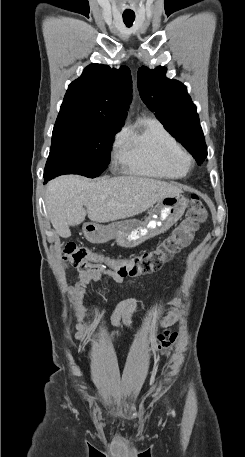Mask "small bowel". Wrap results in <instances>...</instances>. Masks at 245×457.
Returning <instances> with one entry per match:
<instances>
[{
    "instance_id": "small-bowel-1",
    "label": "small bowel",
    "mask_w": 245,
    "mask_h": 457,
    "mask_svg": "<svg viewBox=\"0 0 245 457\" xmlns=\"http://www.w3.org/2000/svg\"><path fill=\"white\" fill-rule=\"evenodd\" d=\"M194 236L192 235L186 243L190 242ZM104 277H110L116 283H122L123 277L119 276L115 271L109 268H101V269H90L86 271H81L74 279L72 284V293L76 298L75 302L72 305V313L78 319V332L75 336L76 340L79 341L81 344H91L96 343L99 341V334L91 329H87L81 325V321L83 319L85 309L82 305L80 300L81 296L84 293L86 284L92 281H99ZM173 306H177L179 304V300H174L171 302ZM136 308V300L134 298H127L122 300L115 312L112 315L111 321L113 325L119 328H131L132 327V313ZM178 318V313L176 309L170 311L167 315H165L161 322L160 326L166 328L172 325ZM120 330H116L112 334V338L120 336Z\"/></svg>"
}]
</instances>
